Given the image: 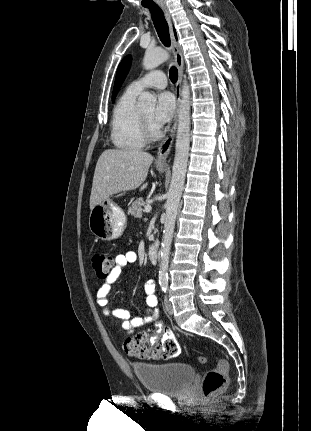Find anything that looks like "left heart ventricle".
I'll use <instances>...</instances> for the list:
<instances>
[{"label": "left heart ventricle", "mask_w": 311, "mask_h": 431, "mask_svg": "<svg viewBox=\"0 0 311 431\" xmlns=\"http://www.w3.org/2000/svg\"><path fill=\"white\" fill-rule=\"evenodd\" d=\"M143 114L153 124V115H154L153 110H149V111L143 112Z\"/></svg>", "instance_id": "obj_1"}]
</instances>
